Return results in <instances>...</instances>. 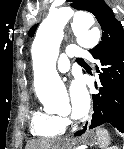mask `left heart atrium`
I'll list each match as a JSON object with an SVG mask.
<instances>
[{"instance_id":"left-heart-atrium-1","label":"left heart atrium","mask_w":124,"mask_h":149,"mask_svg":"<svg viewBox=\"0 0 124 149\" xmlns=\"http://www.w3.org/2000/svg\"><path fill=\"white\" fill-rule=\"evenodd\" d=\"M69 95L72 117L75 119L82 118L90 106V96L82 79L77 78L72 82Z\"/></svg>"}]
</instances>
